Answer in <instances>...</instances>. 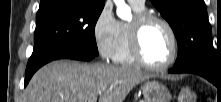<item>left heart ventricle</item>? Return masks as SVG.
Returning <instances> with one entry per match:
<instances>
[{"mask_svg": "<svg viewBox=\"0 0 221 102\" xmlns=\"http://www.w3.org/2000/svg\"><path fill=\"white\" fill-rule=\"evenodd\" d=\"M141 43L144 56L152 64H163L171 56L172 40L167 29L160 23L154 22L145 27Z\"/></svg>", "mask_w": 221, "mask_h": 102, "instance_id": "obj_1", "label": "left heart ventricle"}]
</instances>
